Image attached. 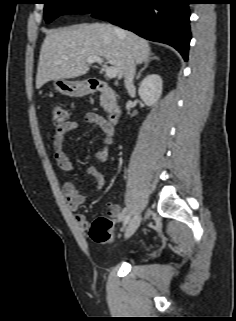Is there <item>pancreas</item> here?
<instances>
[{
	"instance_id": "1",
	"label": "pancreas",
	"mask_w": 236,
	"mask_h": 321,
	"mask_svg": "<svg viewBox=\"0 0 236 321\" xmlns=\"http://www.w3.org/2000/svg\"><path fill=\"white\" fill-rule=\"evenodd\" d=\"M100 104L104 108L105 111H110L111 109V104L109 103L107 97L105 95H102L100 97Z\"/></svg>"
}]
</instances>
